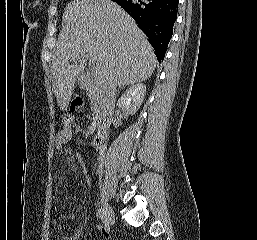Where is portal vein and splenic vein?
<instances>
[{"label": "portal vein and splenic vein", "instance_id": "1", "mask_svg": "<svg viewBox=\"0 0 257 240\" xmlns=\"http://www.w3.org/2000/svg\"><path fill=\"white\" fill-rule=\"evenodd\" d=\"M84 59H87L89 61V64H94L96 62V60L94 59L93 55H86L83 57ZM93 74L95 75V80H96V85L98 87L102 86V81L99 79L98 77V70L97 67H95V69H93Z\"/></svg>", "mask_w": 257, "mask_h": 240}]
</instances>
